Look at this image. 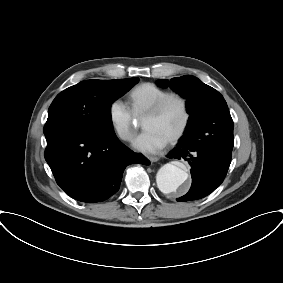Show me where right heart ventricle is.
<instances>
[{"instance_id":"1","label":"right heart ventricle","mask_w":283,"mask_h":283,"mask_svg":"<svg viewBox=\"0 0 283 283\" xmlns=\"http://www.w3.org/2000/svg\"><path fill=\"white\" fill-rule=\"evenodd\" d=\"M168 92V89L154 83H142L134 87L128 94V104L133 115L143 117Z\"/></svg>"}]
</instances>
